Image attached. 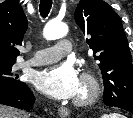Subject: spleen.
Returning <instances> with one entry per match:
<instances>
[{
    "label": "spleen",
    "mask_w": 133,
    "mask_h": 118,
    "mask_svg": "<svg viewBox=\"0 0 133 118\" xmlns=\"http://www.w3.org/2000/svg\"><path fill=\"white\" fill-rule=\"evenodd\" d=\"M103 118H116V117H109V116H104Z\"/></svg>",
    "instance_id": "obj_1"
}]
</instances>
